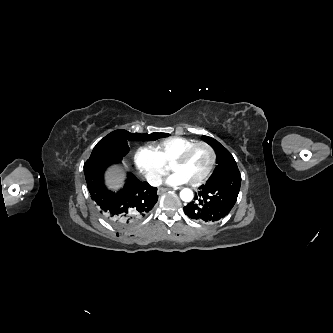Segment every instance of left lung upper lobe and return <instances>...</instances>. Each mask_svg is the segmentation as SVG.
<instances>
[{"label": "left lung upper lobe", "instance_id": "5c2ea615", "mask_svg": "<svg viewBox=\"0 0 333 333\" xmlns=\"http://www.w3.org/2000/svg\"><path fill=\"white\" fill-rule=\"evenodd\" d=\"M202 139L211 147H213L217 155V166L208 180L215 178L223 173L238 170L237 164L232 154L224 146H222L214 138L208 136H202Z\"/></svg>", "mask_w": 333, "mask_h": 333}]
</instances>
